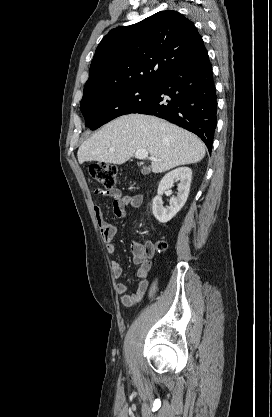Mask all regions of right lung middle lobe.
I'll return each mask as SVG.
<instances>
[{
    "instance_id": "obj_1",
    "label": "right lung middle lobe",
    "mask_w": 272,
    "mask_h": 417,
    "mask_svg": "<svg viewBox=\"0 0 272 417\" xmlns=\"http://www.w3.org/2000/svg\"><path fill=\"white\" fill-rule=\"evenodd\" d=\"M155 83L128 87L102 96H84L80 103L85 126L95 130L110 120L132 113L152 98Z\"/></svg>"
}]
</instances>
